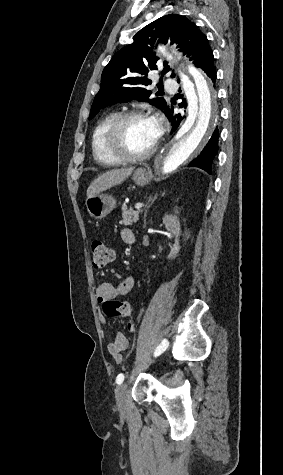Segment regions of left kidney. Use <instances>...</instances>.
<instances>
[{
  "label": "left kidney",
  "mask_w": 283,
  "mask_h": 475,
  "mask_svg": "<svg viewBox=\"0 0 283 475\" xmlns=\"http://www.w3.org/2000/svg\"><path fill=\"white\" fill-rule=\"evenodd\" d=\"M162 220H163V224L166 230H168V232H172L175 238L174 239L175 243H173L171 247V251L169 255H167V259H174V257H177V253H179L180 251V239H179V236H181L180 222L177 216H173V214H169V216L168 214H166V216H164Z\"/></svg>",
  "instance_id": "obj_1"
}]
</instances>
